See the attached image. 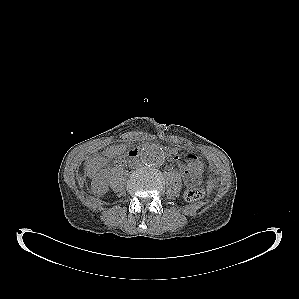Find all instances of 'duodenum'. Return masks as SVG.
Returning a JSON list of instances; mask_svg holds the SVG:
<instances>
[{
  "instance_id": "1",
  "label": "duodenum",
  "mask_w": 299,
  "mask_h": 299,
  "mask_svg": "<svg viewBox=\"0 0 299 299\" xmlns=\"http://www.w3.org/2000/svg\"><path fill=\"white\" fill-rule=\"evenodd\" d=\"M138 156H139V150L138 149H132L127 153L124 160H122V163H130V162L134 161L135 159H137Z\"/></svg>"
}]
</instances>
